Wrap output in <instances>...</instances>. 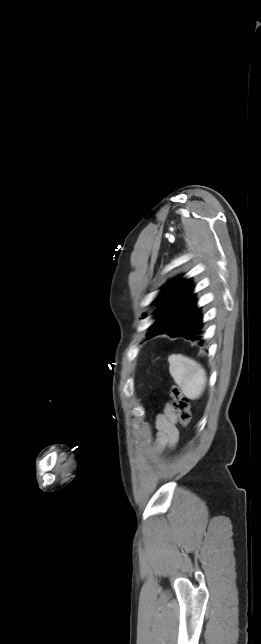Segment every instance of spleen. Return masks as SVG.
I'll return each mask as SVG.
<instances>
[{"label": "spleen", "instance_id": "obj_1", "mask_svg": "<svg viewBox=\"0 0 261 644\" xmlns=\"http://www.w3.org/2000/svg\"><path fill=\"white\" fill-rule=\"evenodd\" d=\"M168 361L170 375L182 393L189 399H198L207 382L206 372L201 364L181 354L170 355Z\"/></svg>", "mask_w": 261, "mask_h": 644}]
</instances>
